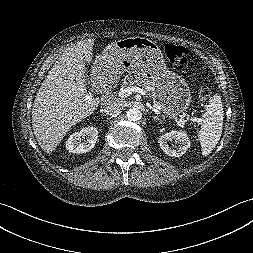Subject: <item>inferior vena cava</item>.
Instances as JSON below:
<instances>
[{
  "instance_id": "602c4592",
  "label": "inferior vena cava",
  "mask_w": 253,
  "mask_h": 253,
  "mask_svg": "<svg viewBox=\"0 0 253 253\" xmlns=\"http://www.w3.org/2000/svg\"><path fill=\"white\" fill-rule=\"evenodd\" d=\"M123 108L121 101H108L105 103L102 111L109 116L118 114Z\"/></svg>"
}]
</instances>
